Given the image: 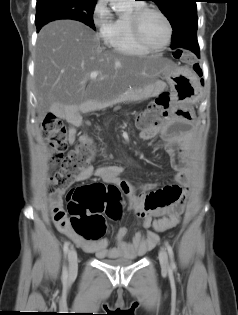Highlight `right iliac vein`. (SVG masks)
Wrapping results in <instances>:
<instances>
[{
	"instance_id": "1",
	"label": "right iliac vein",
	"mask_w": 238,
	"mask_h": 315,
	"mask_svg": "<svg viewBox=\"0 0 238 315\" xmlns=\"http://www.w3.org/2000/svg\"><path fill=\"white\" fill-rule=\"evenodd\" d=\"M68 261H69V276L74 277L77 273V268H78L77 252L74 248H71L68 253Z\"/></svg>"
}]
</instances>
